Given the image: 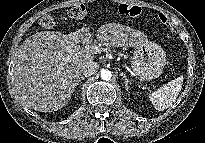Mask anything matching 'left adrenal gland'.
<instances>
[{"label": "left adrenal gland", "instance_id": "a2214340", "mask_svg": "<svg viewBox=\"0 0 205 143\" xmlns=\"http://www.w3.org/2000/svg\"><path fill=\"white\" fill-rule=\"evenodd\" d=\"M120 76H122V78L124 79L125 89L128 91L129 84H131V81L127 78V76L124 73H120Z\"/></svg>", "mask_w": 205, "mask_h": 143}]
</instances>
